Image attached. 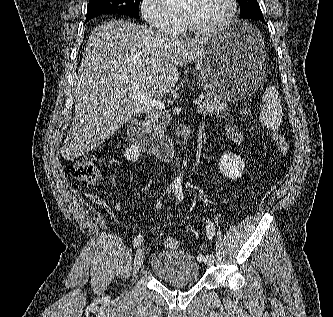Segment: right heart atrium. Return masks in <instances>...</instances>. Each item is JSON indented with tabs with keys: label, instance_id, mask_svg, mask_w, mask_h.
Instances as JSON below:
<instances>
[{
	"label": "right heart atrium",
	"instance_id": "1",
	"mask_svg": "<svg viewBox=\"0 0 333 317\" xmlns=\"http://www.w3.org/2000/svg\"><path fill=\"white\" fill-rule=\"evenodd\" d=\"M139 9L145 22L159 32L167 35L180 32V19L164 9L158 0H140Z\"/></svg>",
	"mask_w": 333,
	"mask_h": 317
}]
</instances>
